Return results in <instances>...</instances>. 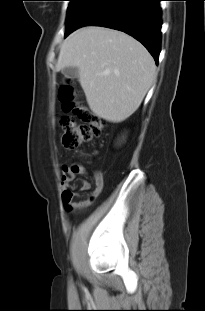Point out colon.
<instances>
[{"instance_id":"5ec220e1","label":"colon","mask_w":205,"mask_h":311,"mask_svg":"<svg viewBox=\"0 0 205 311\" xmlns=\"http://www.w3.org/2000/svg\"><path fill=\"white\" fill-rule=\"evenodd\" d=\"M58 99L62 108L72 116H63L60 124L63 129L62 145L65 149L76 150L92 138L101 135L103 122L95 116L84 104L78 101V94L71 84H64L59 88Z\"/></svg>"}]
</instances>
